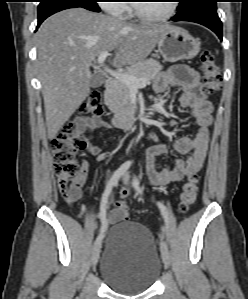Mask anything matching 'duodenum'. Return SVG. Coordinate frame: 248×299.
<instances>
[{"label":"duodenum","mask_w":248,"mask_h":299,"mask_svg":"<svg viewBox=\"0 0 248 299\" xmlns=\"http://www.w3.org/2000/svg\"><path fill=\"white\" fill-rule=\"evenodd\" d=\"M114 87H115V82L113 79L109 78L105 81V91L108 96L113 92ZM138 116H139V110L136 109L129 113L113 114L110 116V122L114 126L128 128L134 124Z\"/></svg>","instance_id":"410a0bca"}]
</instances>
